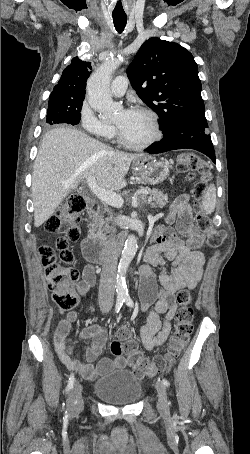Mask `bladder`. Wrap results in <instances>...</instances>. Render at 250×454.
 I'll use <instances>...</instances> for the list:
<instances>
[{
    "instance_id": "bladder-1",
    "label": "bladder",
    "mask_w": 250,
    "mask_h": 454,
    "mask_svg": "<svg viewBox=\"0 0 250 454\" xmlns=\"http://www.w3.org/2000/svg\"><path fill=\"white\" fill-rule=\"evenodd\" d=\"M93 393L107 404L130 405L138 402L141 398L143 383L131 371L119 369L95 380Z\"/></svg>"
}]
</instances>
